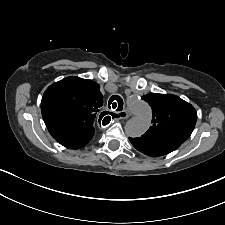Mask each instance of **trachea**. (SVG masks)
<instances>
[{
    "label": "trachea",
    "instance_id": "1",
    "mask_svg": "<svg viewBox=\"0 0 225 225\" xmlns=\"http://www.w3.org/2000/svg\"><path fill=\"white\" fill-rule=\"evenodd\" d=\"M113 108L116 109V111H122L123 109V100L121 99V97L117 96V95H113L110 99H109V108ZM113 118L116 116V114H112Z\"/></svg>",
    "mask_w": 225,
    "mask_h": 225
}]
</instances>
